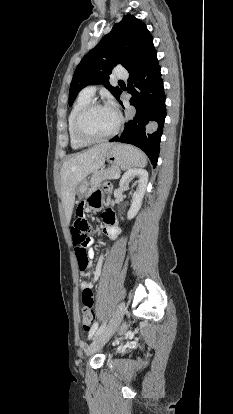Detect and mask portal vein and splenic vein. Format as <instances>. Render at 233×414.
I'll return each instance as SVG.
<instances>
[{"instance_id":"portal-vein-and-splenic-vein-1","label":"portal vein and splenic vein","mask_w":233,"mask_h":414,"mask_svg":"<svg viewBox=\"0 0 233 414\" xmlns=\"http://www.w3.org/2000/svg\"><path fill=\"white\" fill-rule=\"evenodd\" d=\"M119 176H120V175H116V177H115V178L117 179V178H119Z\"/></svg>"}]
</instances>
